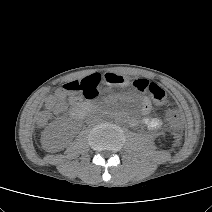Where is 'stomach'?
<instances>
[{
  "label": "stomach",
  "mask_w": 212,
  "mask_h": 212,
  "mask_svg": "<svg viewBox=\"0 0 212 212\" xmlns=\"http://www.w3.org/2000/svg\"><path fill=\"white\" fill-rule=\"evenodd\" d=\"M109 82L115 85H126L129 82V79L122 75H114L109 78Z\"/></svg>",
  "instance_id": "stomach-1"
}]
</instances>
